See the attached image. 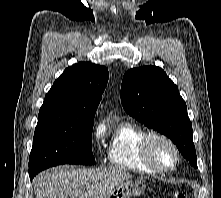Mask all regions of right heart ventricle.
Listing matches in <instances>:
<instances>
[{"label": "right heart ventricle", "mask_w": 221, "mask_h": 198, "mask_svg": "<svg viewBox=\"0 0 221 198\" xmlns=\"http://www.w3.org/2000/svg\"><path fill=\"white\" fill-rule=\"evenodd\" d=\"M147 134L148 132L145 129L133 123L120 124L108 148L110 163L121 170L149 174L157 173L141 157V143Z\"/></svg>", "instance_id": "e07e8e85"}]
</instances>
